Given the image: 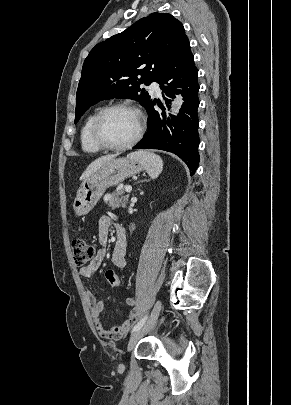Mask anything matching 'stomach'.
<instances>
[{"label": "stomach", "mask_w": 291, "mask_h": 405, "mask_svg": "<svg viewBox=\"0 0 291 405\" xmlns=\"http://www.w3.org/2000/svg\"><path fill=\"white\" fill-rule=\"evenodd\" d=\"M142 169L143 166L130 157L114 158L103 164L97 172L82 182L73 203L76 215L87 214L97 204L107 188L122 183Z\"/></svg>", "instance_id": "stomach-1"}]
</instances>
